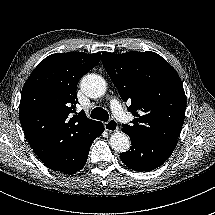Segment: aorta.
I'll use <instances>...</instances> for the list:
<instances>
[{
    "mask_svg": "<svg viewBox=\"0 0 215 215\" xmlns=\"http://www.w3.org/2000/svg\"><path fill=\"white\" fill-rule=\"evenodd\" d=\"M81 87L89 97L95 98L103 96L107 90L104 79L98 75H86L81 81ZM109 142L119 153L128 151L131 145L129 136L123 131L112 133Z\"/></svg>",
    "mask_w": 215,
    "mask_h": 215,
    "instance_id": "1",
    "label": "aorta"
}]
</instances>
